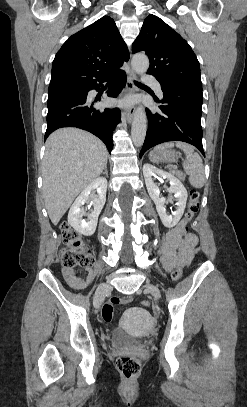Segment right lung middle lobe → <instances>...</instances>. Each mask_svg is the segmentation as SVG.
<instances>
[{
	"instance_id": "dd1d6c3e",
	"label": "right lung middle lobe",
	"mask_w": 247,
	"mask_h": 407,
	"mask_svg": "<svg viewBox=\"0 0 247 407\" xmlns=\"http://www.w3.org/2000/svg\"><path fill=\"white\" fill-rule=\"evenodd\" d=\"M88 87H63L48 90V105L67 98L87 96Z\"/></svg>"
}]
</instances>
